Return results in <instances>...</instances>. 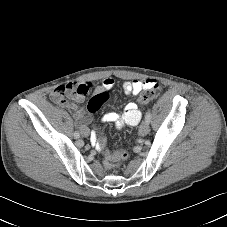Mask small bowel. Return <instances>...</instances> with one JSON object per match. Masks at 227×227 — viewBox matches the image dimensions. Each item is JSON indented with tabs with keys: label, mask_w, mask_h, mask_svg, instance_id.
I'll list each match as a JSON object with an SVG mask.
<instances>
[{
	"label": "small bowel",
	"mask_w": 227,
	"mask_h": 227,
	"mask_svg": "<svg viewBox=\"0 0 227 227\" xmlns=\"http://www.w3.org/2000/svg\"><path fill=\"white\" fill-rule=\"evenodd\" d=\"M153 80L147 79L144 81L140 80H133V81H126L123 83L122 88L125 94H133L137 95L143 90H147L151 87ZM79 88L77 91L68 94L66 97L56 99L55 98V91L52 92L51 97L52 99L59 104L60 106L67 108L73 111L75 118L80 124V129L83 134L87 128V124L91 121V117L89 114H86L83 110L78 108V106L70 101L68 98H71L75 102H82L86 95L88 94L92 84L90 82H85L81 84L70 83ZM115 84V81L108 77L102 81V85L98 88V93L108 91L111 89ZM68 97V98H67ZM142 117L141 111L138 109L135 103H128L124 111L122 113L119 112H109L105 114L101 121L103 123H115L117 127H123L125 125L135 126L137 125ZM91 143L92 145L99 151L105 153L107 150L106 144L104 141L99 140L96 133H91Z\"/></svg>",
	"instance_id": "c3829d8e"
}]
</instances>
